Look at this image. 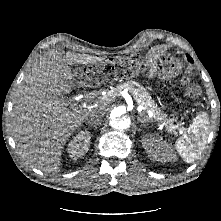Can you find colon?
Returning a JSON list of instances; mask_svg holds the SVG:
<instances>
[{
  "label": "colon",
  "instance_id": "colon-1",
  "mask_svg": "<svg viewBox=\"0 0 221 221\" xmlns=\"http://www.w3.org/2000/svg\"><path fill=\"white\" fill-rule=\"evenodd\" d=\"M148 67V60L146 57L139 58L136 70H146ZM125 74L133 73L131 69H125ZM158 72L161 76H167L171 72L168 61H163L158 65ZM118 73V67L109 63L100 66H89L79 69L75 72L76 78L79 81H103L112 78ZM184 82H187L185 79ZM187 93L191 97H196L200 94V89L195 84H188Z\"/></svg>",
  "mask_w": 221,
  "mask_h": 221
}]
</instances>
